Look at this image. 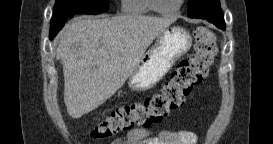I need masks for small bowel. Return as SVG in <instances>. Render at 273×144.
<instances>
[{"instance_id":"small-bowel-1","label":"small bowel","mask_w":273,"mask_h":144,"mask_svg":"<svg viewBox=\"0 0 273 144\" xmlns=\"http://www.w3.org/2000/svg\"><path fill=\"white\" fill-rule=\"evenodd\" d=\"M197 135L187 130L164 129L153 132L147 129H133L125 137L118 138L112 144H195Z\"/></svg>"}]
</instances>
